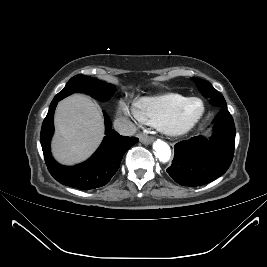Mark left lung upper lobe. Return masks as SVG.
Returning <instances> with one entry per match:
<instances>
[{
	"label": "left lung upper lobe",
	"mask_w": 267,
	"mask_h": 267,
	"mask_svg": "<svg viewBox=\"0 0 267 267\" xmlns=\"http://www.w3.org/2000/svg\"><path fill=\"white\" fill-rule=\"evenodd\" d=\"M192 80L196 83L200 92L205 97L210 98L211 104L219 106L221 108H227L224 97L220 93H218L209 82L195 77Z\"/></svg>",
	"instance_id": "left-lung-upper-lobe-1"
}]
</instances>
